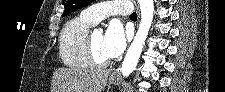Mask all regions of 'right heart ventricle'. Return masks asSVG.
<instances>
[{
	"instance_id": "e07e8e85",
	"label": "right heart ventricle",
	"mask_w": 225,
	"mask_h": 92,
	"mask_svg": "<svg viewBox=\"0 0 225 92\" xmlns=\"http://www.w3.org/2000/svg\"><path fill=\"white\" fill-rule=\"evenodd\" d=\"M93 25L81 15L66 22L59 36V57L65 65L79 69L91 66L86 51V39L88 30Z\"/></svg>"
}]
</instances>
